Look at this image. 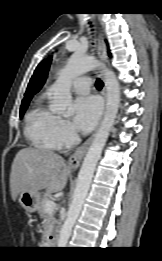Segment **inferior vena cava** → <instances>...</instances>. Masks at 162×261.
I'll list each match as a JSON object with an SVG mask.
<instances>
[{"instance_id":"obj_1","label":"inferior vena cava","mask_w":162,"mask_h":261,"mask_svg":"<svg viewBox=\"0 0 162 261\" xmlns=\"http://www.w3.org/2000/svg\"><path fill=\"white\" fill-rule=\"evenodd\" d=\"M76 141H77V142H79V141H80V138H79L78 136L76 137Z\"/></svg>"}]
</instances>
